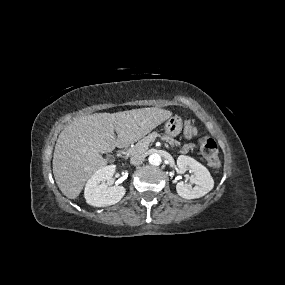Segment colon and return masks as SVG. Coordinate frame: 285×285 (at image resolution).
Masks as SVG:
<instances>
[{
  "label": "colon",
  "mask_w": 285,
  "mask_h": 285,
  "mask_svg": "<svg viewBox=\"0 0 285 285\" xmlns=\"http://www.w3.org/2000/svg\"><path fill=\"white\" fill-rule=\"evenodd\" d=\"M197 134L196 126L193 124L192 119L187 117L185 119L184 136L187 139L193 138ZM199 144L204 157L206 158L209 166L217 172L220 168V159L218 156L217 145L214 139L209 136H202L199 139Z\"/></svg>",
  "instance_id": "colon-1"
}]
</instances>
